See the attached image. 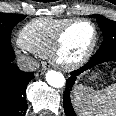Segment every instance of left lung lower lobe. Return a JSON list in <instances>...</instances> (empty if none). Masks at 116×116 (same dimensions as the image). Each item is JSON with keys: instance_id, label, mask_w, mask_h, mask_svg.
<instances>
[{"instance_id": "left-lung-lower-lobe-1", "label": "left lung lower lobe", "mask_w": 116, "mask_h": 116, "mask_svg": "<svg viewBox=\"0 0 116 116\" xmlns=\"http://www.w3.org/2000/svg\"><path fill=\"white\" fill-rule=\"evenodd\" d=\"M105 62H116V51H112L107 54H94L84 67H82L79 70L72 71L70 73L71 76L66 80V88L63 94V107H64L66 116H76L71 104L70 94L77 77L82 72L92 69L98 66L99 64H102Z\"/></svg>"}]
</instances>
